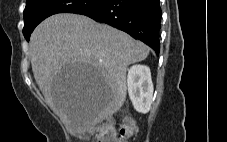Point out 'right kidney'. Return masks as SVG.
Here are the masks:
<instances>
[{
  "label": "right kidney",
  "mask_w": 227,
  "mask_h": 142,
  "mask_svg": "<svg viewBox=\"0 0 227 142\" xmlns=\"http://www.w3.org/2000/svg\"><path fill=\"white\" fill-rule=\"evenodd\" d=\"M127 85L129 97L136 111L147 113L153 97V83L150 68L134 65L128 70Z\"/></svg>",
  "instance_id": "ca27d5eb"
}]
</instances>
